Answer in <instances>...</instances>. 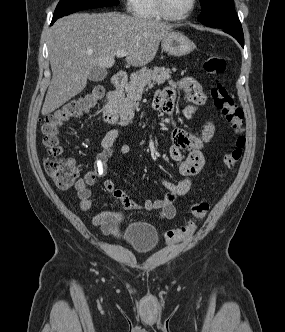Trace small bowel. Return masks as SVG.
Returning a JSON list of instances; mask_svg holds the SVG:
<instances>
[{
  "mask_svg": "<svg viewBox=\"0 0 285 332\" xmlns=\"http://www.w3.org/2000/svg\"><path fill=\"white\" fill-rule=\"evenodd\" d=\"M176 90H182L190 102V105L184 110V115L187 118H190L206 102L207 97L203 92L202 86L193 78L184 77L156 95L153 103L154 108L171 115ZM214 132L215 126L211 122L205 124L200 134L191 133L177 127L172 129V144L169 147V156L173 161L180 164L179 172L182 177L177 182H172L164 177L161 178L163 185L168 190L162 198L156 200L146 199L137 202L129 198L121 188L116 187L110 178L104 180L105 190L118 199L126 209L156 210L162 219H173L176 215L175 200L177 197L184 196L190 191L192 178L201 171L205 163L202 148L211 140ZM120 133V128H113L106 132L101 140V150L96 156L94 168L75 183L79 206L82 211L90 210L92 206L91 187L97 182L98 178L107 174L108 162L120 156H125L130 152V146L127 144L115 148V142ZM185 152L187 153L186 156H184ZM104 217L105 214L101 213L95 217L94 222L101 224Z\"/></svg>",
  "mask_w": 285,
  "mask_h": 332,
  "instance_id": "small-bowel-1",
  "label": "small bowel"
}]
</instances>
